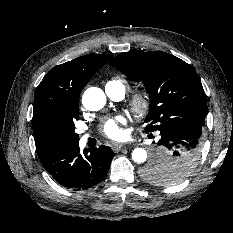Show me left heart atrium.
Segmentation results:
<instances>
[{
  "label": "left heart atrium",
  "mask_w": 233,
  "mask_h": 233,
  "mask_svg": "<svg viewBox=\"0 0 233 233\" xmlns=\"http://www.w3.org/2000/svg\"><path fill=\"white\" fill-rule=\"evenodd\" d=\"M125 120L122 116L107 118L101 125L102 133L113 140L121 139L124 136L122 125Z\"/></svg>",
  "instance_id": "1"
}]
</instances>
